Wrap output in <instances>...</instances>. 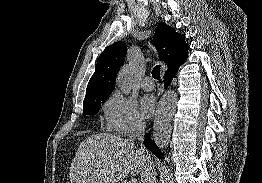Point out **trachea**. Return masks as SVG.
I'll list each match as a JSON object with an SVG mask.
<instances>
[{"label": "trachea", "instance_id": "obj_1", "mask_svg": "<svg viewBox=\"0 0 262 183\" xmlns=\"http://www.w3.org/2000/svg\"><path fill=\"white\" fill-rule=\"evenodd\" d=\"M152 77L156 80L160 79V65H156L152 70Z\"/></svg>", "mask_w": 262, "mask_h": 183}]
</instances>
